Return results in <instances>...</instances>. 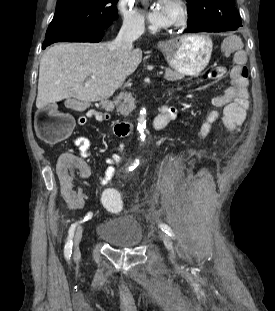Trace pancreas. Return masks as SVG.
<instances>
[{
  "instance_id": "pancreas-1",
  "label": "pancreas",
  "mask_w": 275,
  "mask_h": 311,
  "mask_svg": "<svg viewBox=\"0 0 275 311\" xmlns=\"http://www.w3.org/2000/svg\"><path fill=\"white\" fill-rule=\"evenodd\" d=\"M165 79L171 82L180 80L183 78V76L175 71H172L171 69L167 68L165 72ZM114 104L117 107L118 114H121L123 116H127L134 108H135V100L132 97L131 93H121L116 100L114 101Z\"/></svg>"
}]
</instances>
